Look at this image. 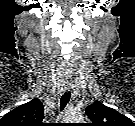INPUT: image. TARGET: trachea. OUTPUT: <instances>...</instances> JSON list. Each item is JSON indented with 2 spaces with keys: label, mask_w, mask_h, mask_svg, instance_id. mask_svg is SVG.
<instances>
[{
  "label": "trachea",
  "mask_w": 135,
  "mask_h": 126,
  "mask_svg": "<svg viewBox=\"0 0 135 126\" xmlns=\"http://www.w3.org/2000/svg\"><path fill=\"white\" fill-rule=\"evenodd\" d=\"M70 97H71V93L68 91V92H65L61 99H60V111H62L65 106L67 105V103L69 102L70 100Z\"/></svg>",
  "instance_id": "1"
}]
</instances>
